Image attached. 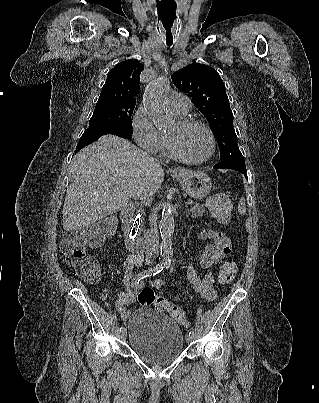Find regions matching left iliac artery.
<instances>
[{
  "label": "left iliac artery",
  "instance_id": "obj_1",
  "mask_svg": "<svg viewBox=\"0 0 319 403\" xmlns=\"http://www.w3.org/2000/svg\"><path fill=\"white\" fill-rule=\"evenodd\" d=\"M165 268H166V269H169V268H170V262L165 264ZM189 335H193V336H194V332H193V331H190V332H189Z\"/></svg>",
  "mask_w": 319,
  "mask_h": 403
}]
</instances>
